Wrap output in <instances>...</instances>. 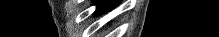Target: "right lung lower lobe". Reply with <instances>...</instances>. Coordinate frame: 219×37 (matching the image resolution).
<instances>
[{"label": "right lung lower lobe", "mask_w": 219, "mask_h": 37, "mask_svg": "<svg viewBox=\"0 0 219 37\" xmlns=\"http://www.w3.org/2000/svg\"><path fill=\"white\" fill-rule=\"evenodd\" d=\"M118 2L117 0H96L95 3L98 5L96 12L104 13L115 7Z\"/></svg>", "instance_id": "right-lung-lower-lobe-1"}]
</instances>
